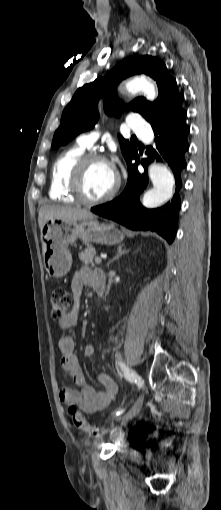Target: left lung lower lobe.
Listing matches in <instances>:
<instances>
[{
	"label": "left lung lower lobe",
	"mask_w": 221,
	"mask_h": 510,
	"mask_svg": "<svg viewBox=\"0 0 221 510\" xmlns=\"http://www.w3.org/2000/svg\"><path fill=\"white\" fill-rule=\"evenodd\" d=\"M186 114L184 112L152 125L156 145L148 148V158L141 160L145 170L154 160L169 165L176 182L172 201L157 209H147L140 204L139 197L148 184V177L146 171L143 174L138 171L140 161L137 152L127 161L128 181L123 193L111 202L91 208L93 213L132 230L155 231L169 243L173 242L181 206L178 192L182 187L181 172L186 166L184 154L189 148L187 136L190 128L185 121ZM133 159L135 163L131 162Z\"/></svg>",
	"instance_id": "1"
}]
</instances>
